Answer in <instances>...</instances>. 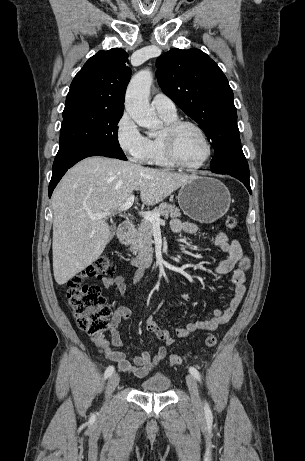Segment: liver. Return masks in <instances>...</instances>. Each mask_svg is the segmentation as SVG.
Instances as JSON below:
<instances>
[{
  "instance_id": "liver-1",
  "label": "liver",
  "mask_w": 305,
  "mask_h": 461,
  "mask_svg": "<svg viewBox=\"0 0 305 461\" xmlns=\"http://www.w3.org/2000/svg\"><path fill=\"white\" fill-rule=\"evenodd\" d=\"M195 176L143 167L131 162L90 157L71 168L52 196L53 272L59 285L91 265L110 238L107 217L134 191L155 205ZM110 215L92 220L90 214Z\"/></svg>"
}]
</instances>
